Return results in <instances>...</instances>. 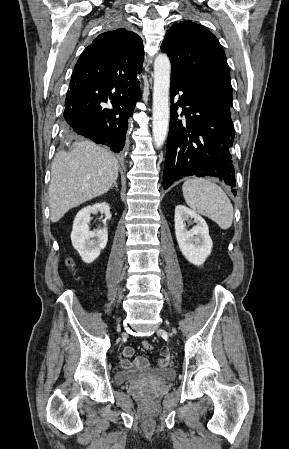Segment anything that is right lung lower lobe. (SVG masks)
Wrapping results in <instances>:
<instances>
[{
	"label": "right lung lower lobe",
	"mask_w": 289,
	"mask_h": 449,
	"mask_svg": "<svg viewBox=\"0 0 289 449\" xmlns=\"http://www.w3.org/2000/svg\"><path fill=\"white\" fill-rule=\"evenodd\" d=\"M140 97L137 78L90 82L72 77L63 129L69 136L90 138L119 153L125 145L128 119Z\"/></svg>",
	"instance_id": "98d812e1"
}]
</instances>
